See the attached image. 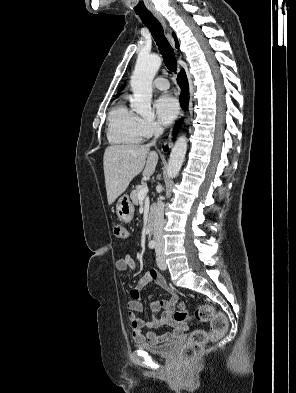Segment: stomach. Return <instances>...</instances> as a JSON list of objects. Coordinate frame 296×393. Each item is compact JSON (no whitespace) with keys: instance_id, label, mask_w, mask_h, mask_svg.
Here are the masks:
<instances>
[{"instance_id":"stomach-1","label":"stomach","mask_w":296,"mask_h":393,"mask_svg":"<svg viewBox=\"0 0 296 393\" xmlns=\"http://www.w3.org/2000/svg\"><path fill=\"white\" fill-rule=\"evenodd\" d=\"M116 214L121 222L128 223L133 219L134 205L128 195L119 198L116 204Z\"/></svg>"}]
</instances>
